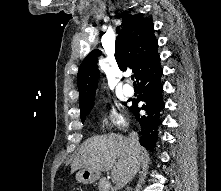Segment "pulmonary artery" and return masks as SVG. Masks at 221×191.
Masks as SVG:
<instances>
[{"mask_svg": "<svg viewBox=\"0 0 221 191\" xmlns=\"http://www.w3.org/2000/svg\"><path fill=\"white\" fill-rule=\"evenodd\" d=\"M123 93L127 97H132L134 95V89L131 85L126 84L123 88Z\"/></svg>", "mask_w": 221, "mask_h": 191, "instance_id": "1", "label": "pulmonary artery"}]
</instances>
